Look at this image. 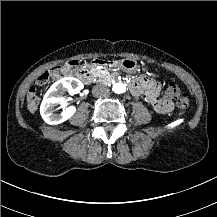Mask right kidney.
<instances>
[{
  "label": "right kidney",
  "mask_w": 217,
  "mask_h": 217,
  "mask_svg": "<svg viewBox=\"0 0 217 217\" xmlns=\"http://www.w3.org/2000/svg\"><path fill=\"white\" fill-rule=\"evenodd\" d=\"M82 89V82L76 78L68 77L57 81L46 93L40 107V114L45 123L49 125H58L71 118L76 113L75 106L70 105L66 107L62 114L55 113V106L58 103L67 102L64 97L65 92L74 95L79 93Z\"/></svg>",
  "instance_id": "obj_1"
}]
</instances>
